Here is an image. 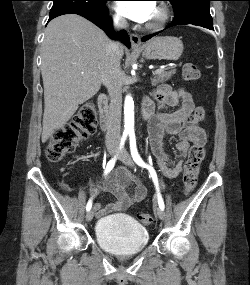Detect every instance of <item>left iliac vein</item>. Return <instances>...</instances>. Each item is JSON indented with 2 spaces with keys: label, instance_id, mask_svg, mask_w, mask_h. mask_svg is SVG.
<instances>
[{
  "label": "left iliac vein",
  "instance_id": "left-iliac-vein-1",
  "mask_svg": "<svg viewBox=\"0 0 250 285\" xmlns=\"http://www.w3.org/2000/svg\"><path fill=\"white\" fill-rule=\"evenodd\" d=\"M118 159L124 163L125 165L129 166V167H134V162L130 156V154L128 153V151H126L125 149L121 150L120 153L118 154ZM156 213L157 216L159 217V219L164 220L165 219V212L163 209H161L160 207H158L156 209Z\"/></svg>",
  "mask_w": 250,
  "mask_h": 285
}]
</instances>
